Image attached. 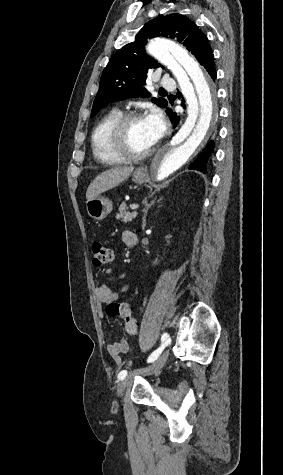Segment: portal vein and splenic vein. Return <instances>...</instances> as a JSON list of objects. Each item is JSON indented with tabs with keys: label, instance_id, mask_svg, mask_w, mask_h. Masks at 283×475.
I'll return each mask as SVG.
<instances>
[{
	"label": "portal vein and splenic vein",
	"instance_id": "portal-vein-and-splenic-vein-1",
	"mask_svg": "<svg viewBox=\"0 0 283 475\" xmlns=\"http://www.w3.org/2000/svg\"><path fill=\"white\" fill-rule=\"evenodd\" d=\"M131 210H137L139 208L138 204H131L130 206Z\"/></svg>",
	"mask_w": 283,
	"mask_h": 475
}]
</instances>
